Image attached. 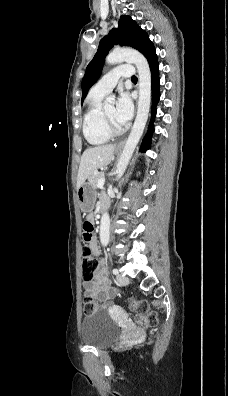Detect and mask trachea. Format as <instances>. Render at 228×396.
I'll list each match as a JSON object with an SVG mask.
<instances>
[{
	"mask_svg": "<svg viewBox=\"0 0 228 396\" xmlns=\"http://www.w3.org/2000/svg\"><path fill=\"white\" fill-rule=\"evenodd\" d=\"M131 80H132V81H137V77H136V76H132V77H131Z\"/></svg>",
	"mask_w": 228,
	"mask_h": 396,
	"instance_id": "3493384b",
	"label": "trachea"
}]
</instances>
